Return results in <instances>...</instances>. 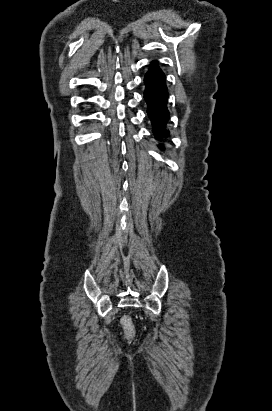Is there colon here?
<instances>
[{
  "label": "colon",
  "instance_id": "1",
  "mask_svg": "<svg viewBox=\"0 0 272 411\" xmlns=\"http://www.w3.org/2000/svg\"><path fill=\"white\" fill-rule=\"evenodd\" d=\"M121 325L126 339L133 340L136 336V330L131 318L129 316H123L121 318Z\"/></svg>",
  "mask_w": 272,
  "mask_h": 411
}]
</instances>
